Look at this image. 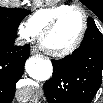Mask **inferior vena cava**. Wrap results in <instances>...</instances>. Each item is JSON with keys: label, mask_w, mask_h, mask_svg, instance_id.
Instances as JSON below:
<instances>
[{"label": "inferior vena cava", "mask_w": 103, "mask_h": 103, "mask_svg": "<svg viewBox=\"0 0 103 103\" xmlns=\"http://www.w3.org/2000/svg\"><path fill=\"white\" fill-rule=\"evenodd\" d=\"M16 44H22V42H21V41H19V40H17Z\"/></svg>", "instance_id": "inferior-vena-cava-1"}]
</instances>
